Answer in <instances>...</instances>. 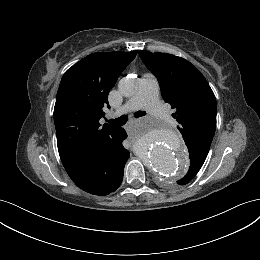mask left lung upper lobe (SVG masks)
<instances>
[{"instance_id":"obj_1","label":"left lung upper lobe","mask_w":260,"mask_h":260,"mask_svg":"<svg viewBox=\"0 0 260 260\" xmlns=\"http://www.w3.org/2000/svg\"><path fill=\"white\" fill-rule=\"evenodd\" d=\"M147 68L157 77L163 99L176 112L189 154L205 161L216 128V98L208 82L189 61L167 53L139 51Z\"/></svg>"}]
</instances>
